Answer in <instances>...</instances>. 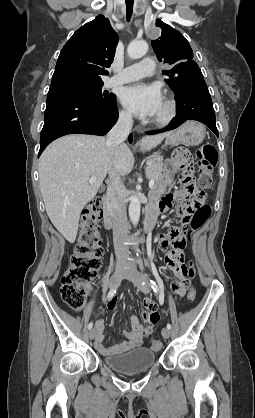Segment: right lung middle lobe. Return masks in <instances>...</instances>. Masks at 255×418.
<instances>
[{
    "mask_svg": "<svg viewBox=\"0 0 255 418\" xmlns=\"http://www.w3.org/2000/svg\"><path fill=\"white\" fill-rule=\"evenodd\" d=\"M103 82L90 83V82H73L50 86L48 95L52 94H76L82 95L93 100H97L101 103H110L114 100V94H106L102 92L101 87Z\"/></svg>",
    "mask_w": 255,
    "mask_h": 418,
    "instance_id": "dd1d6c3e",
    "label": "right lung middle lobe"
}]
</instances>
